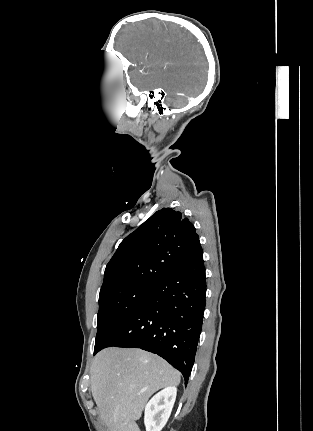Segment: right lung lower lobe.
I'll use <instances>...</instances> for the list:
<instances>
[{
  "mask_svg": "<svg viewBox=\"0 0 313 431\" xmlns=\"http://www.w3.org/2000/svg\"><path fill=\"white\" fill-rule=\"evenodd\" d=\"M205 295L203 252L198 240L97 352L117 346L158 354L182 373L186 385L201 333Z\"/></svg>",
  "mask_w": 313,
  "mask_h": 431,
  "instance_id": "right-lung-lower-lobe-1",
  "label": "right lung lower lobe"
}]
</instances>
